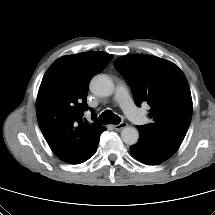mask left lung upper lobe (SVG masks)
<instances>
[{
	"instance_id": "obj_1",
	"label": "left lung upper lobe",
	"mask_w": 215,
	"mask_h": 215,
	"mask_svg": "<svg viewBox=\"0 0 215 215\" xmlns=\"http://www.w3.org/2000/svg\"><path fill=\"white\" fill-rule=\"evenodd\" d=\"M130 85L137 106L147 103L151 123L138 126L153 139L178 149L190 125L193 105L188 82L172 62L151 55H129L114 62Z\"/></svg>"
}]
</instances>
